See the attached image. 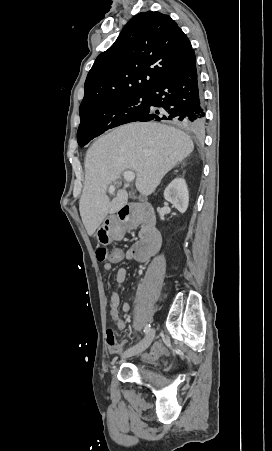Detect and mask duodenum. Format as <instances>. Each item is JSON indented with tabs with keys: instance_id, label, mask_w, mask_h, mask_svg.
Masks as SVG:
<instances>
[{
	"instance_id": "1",
	"label": "duodenum",
	"mask_w": 272,
	"mask_h": 451,
	"mask_svg": "<svg viewBox=\"0 0 272 451\" xmlns=\"http://www.w3.org/2000/svg\"><path fill=\"white\" fill-rule=\"evenodd\" d=\"M118 214L117 223L109 226L110 236L120 239L127 230L142 226V239L131 247L129 255L137 261H146L156 254L161 246V234L156 228L152 207L149 204H128L121 207Z\"/></svg>"
}]
</instances>
